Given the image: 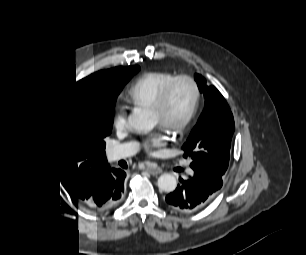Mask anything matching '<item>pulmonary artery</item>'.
Masks as SVG:
<instances>
[{
	"label": "pulmonary artery",
	"instance_id": "obj_1",
	"mask_svg": "<svg viewBox=\"0 0 306 255\" xmlns=\"http://www.w3.org/2000/svg\"><path fill=\"white\" fill-rule=\"evenodd\" d=\"M134 151V148L130 145H123L111 150L110 157L112 160H119L130 156ZM191 173V171H190Z\"/></svg>",
	"mask_w": 306,
	"mask_h": 255
}]
</instances>
